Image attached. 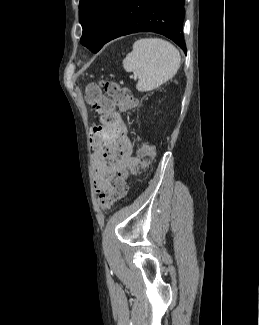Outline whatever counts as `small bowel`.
<instances>
[{
	"mask_svg": "<svg viewBox=\"0 0 259 325\" xmlns=\"http://www.w3.org/2000/svg\"><path fill=\"white\" fill-rule=\"evenodd\" d=\"M106 113L112 115L115 122L110 127L102 126L98 141L92 142L96 151L94 183L100 193L111 192L114 179L121 173L137 175L141 165L140 159L134 155L121 115L114 110V106H110Z\"/></svg>",
	"mask_w": 259,
	"mask_h": 325,
	"instance_id": "obj_1",
	"label": "small bowel"
}]
</instances>
